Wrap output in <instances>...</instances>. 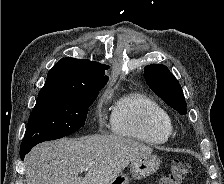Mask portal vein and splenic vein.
I'll list each match as a JSON object with an SVG mask.
<instances>
[{
    "label": "portal vein and splenic vein",
    "mask_w": 224,
    "mask_h": 184,
    "mask_svg": "<svg viewBox=\"0 0 224 184\" xmlns=\"http://www.w3.org/2000/svg\"><path fill=\"white\" fill-rule=\"evenodd\" d=\"M88 169L85 167H80V171H87Z\"/></svg>",
    "instance_id": "1"
}]
</instances>
